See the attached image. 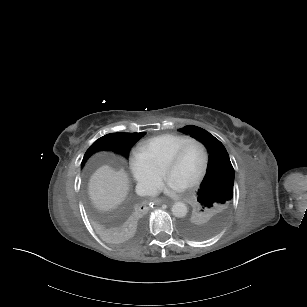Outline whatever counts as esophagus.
<instances>
[{
    "label": "esophagus",
    "mask_w": 307,
    "mask_h": 307,
    "mask_svg": "<svg viewBox=\"0 0 307 307\" xmlns=\"http://www.w3.org/2000/svg\"><path fill=\"white\" fill-rule=\"evenodd\" d=\"M154 203H155L156 205H161V204H163L164 202H163L161 199H155V200H154Z\"/></svg>",
    "instance_id": "34e87169"
}]
</instances>
